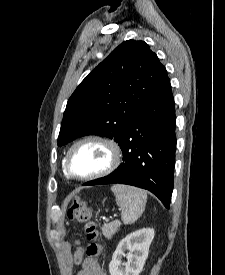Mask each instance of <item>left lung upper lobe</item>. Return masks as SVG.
<instances>
[{
  "label": "left lung upper lobe",
  "mask_w": 225,
  "mask_h": 275,
  "mask_svg": "<svg viewBox=\"0 0 225 275\" xmlns=\"http://www.w3.org/2000/svg\"><path fill=\"white\" fill-rule=\"evenodd\" d=\"M168 79L148 44L124 41L69 98L58 145L84 135L106 136L120 144L129 125Z\"/></svg>",
  "instance_id": "1"
}]
</instances>
